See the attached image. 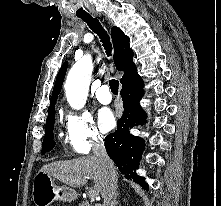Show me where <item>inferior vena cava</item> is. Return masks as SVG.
Returning <instances> with one entry per match:
<instances>
[{
	"label": "inferior vena cava",
	"instance_id": "inferior-vena-cava-1",
	"mask_svg": "<svg viewBox=\"0 0 221 206\" xmlns=\"http://www.w3.org/2000/svg\"><path fill=\"white\" fill-rule=\"evenodd\" d=\"M92 150L100 164L108 172V181L105 192L103 193L102 197L104 201L103 206H110L112 203V198L116 194L117 190V179L115 177V174L112 172L113 164L107 155L104 141L102 139H94V142L92 144Z\"/></svg>",
	"mask_w": 221,
	"mask_h": 206
}]
</instances>
